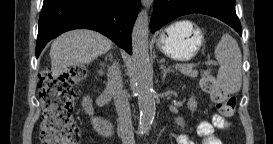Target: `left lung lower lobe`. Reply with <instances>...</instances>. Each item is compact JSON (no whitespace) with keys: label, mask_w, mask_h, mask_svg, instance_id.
<instances>
[{"label":"left lung lower lobe","mask_w":273,"mask_h":144,"mask_svg":"<svg viewBox=\"0 0 273 144\" xmlns=\"http://www.w3.org/2000/svg\"><path fill=\"white\" fill-rule=\"evenodd\" d=\"M192 13L216 17L242 35L235 0H154L150 30L154 33L173 19Z\"/></svg>","instance_id":"obj_1"}]
</instances>
